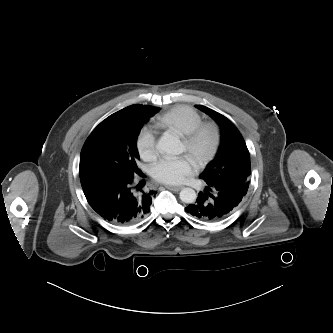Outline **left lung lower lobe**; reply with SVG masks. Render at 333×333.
Masks as SVG:
<instances>
[{"label":"left lung lower lobe","instance_id":"1","mask_svg":"<svg viewBox=\"0 0 333 333\" xmlns=\"http://www.w3.org/2000/svg\"><path fill=\"white\" fill-rule=\"evenodd\" d=\"M204 181L207 183L205 190L200 192L196 201L185 210L195 218L206 222L220 221L231 214L248 190L245 186Z\"/></svg>","mask_w":333,"mask_h":333}]
</instances>
